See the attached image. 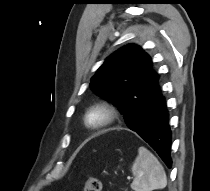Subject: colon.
I'll use <instances>...</instances> for the list:
<instances>
[{"instance_id": "1", "label": "colon", "mask_w": 210, "mask_h": 191, "mask_svg": "<svg viewBox=\"0 0 210 191\" xmlns=\"http://www.w3.org/2000/svg\"><path fill=\"white\" fill-rule=\"evenodd\" d=\"M84 191H101V181L94 176H87L83 182Z\"/></svg>"}]
</instances>
